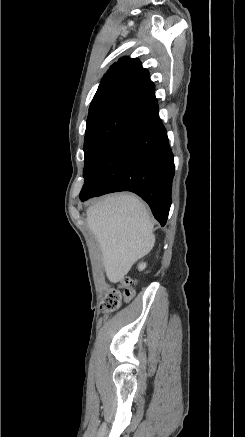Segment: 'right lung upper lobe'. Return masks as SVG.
<instances>
[{"instance_id": "right-lung-upper-lobe-1", "label": "right lung upper lobe", "mask_w": 245, "mask_h": 437, "mask_svg": "<svg viewBox=\"0 0 245 437\" xmlns=\"http://www.w3.org/2000/svg\"><path fill=\"white\" fill-rule=\"evenodd\" d=\"M149 72L136 58L122 57L104 75L89 111L106 104H126L141 111L158 106Z\"/></svg>"}]
</instances>
